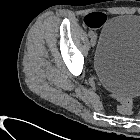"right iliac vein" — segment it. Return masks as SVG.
<instances>
[{"label":"right iliac vein","mask_w":140,"mask_h":140,"mask_svg":"<svg viewBox=\"0 0 140 140\" xmlns=\"http://www.w3.org/2000/svg\"><path fill=\"white\" fill-rule=\"evenodd\" d=\"M91 45L94 47L96 45V38L95 36L91 37Z\"/></svg>","instance_id":"1"}]
</instances>
